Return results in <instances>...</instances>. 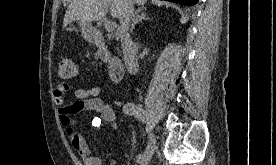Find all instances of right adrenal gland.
Here are the masks:
<instances>
[{
    "instance_id": "obj_1",
    "label": "right adrenal gland",
    "mask_w": 276,
    "mask_h": 165,
    "mask_svg": "<svg viewBox=\"0 0 276 165\" xmlns=\"http://www.w3.org/2000/svg\"><path fill=\"white\" fill-rule=\"evenodd\" d=\"M145 7L138 8L132 17V24H131V31L134 29L135 25L141 23L142 20H148L149 17L147 16Z\"/></svg>"
}]
</instances>
